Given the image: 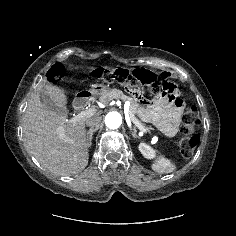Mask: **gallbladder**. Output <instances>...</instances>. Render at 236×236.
Returning a JSON list of instances; mask_svg holds the SVG:
<instances>
[{"instance_id": "bac80fb5", "label": "gallbladder", "mask_w": 236, "mask_h": 236, "mask_svg": "<svg viewBox=\"0 0 236 236\" xmlns=\"http://www.w3.org/2000/svg\"><path fill=\"white\" fill-rule=\"evenodd\" d=\"M40 100L42 101V103L45 105V107L53 112H56L58 114H65L67 112V110H63L60 107H58L53 100L51 99V97L45 92V91H40L38 93Z\"/></svg>"}]
</instances>
